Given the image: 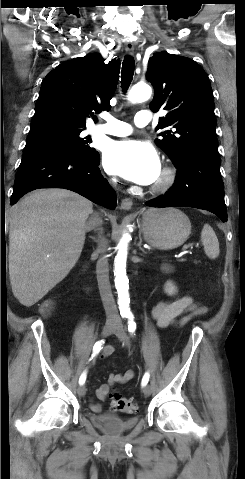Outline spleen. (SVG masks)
<instances>
[{"label":"spleen","instance_id":"1","mask_svg":"<svg viewBox=\"0 0 245 479\" xmlns=\"http://www.w3.org/2000/svg\"><path fill=\"white\" fill-rule=\"evenodd\" d=\"M201 241L204 245L205 254L210 259H215L219 256V242L218 238L209 224H204L201 232Z\"/></svg>","mask_w":245,"mask_h":479}]
</instances>
